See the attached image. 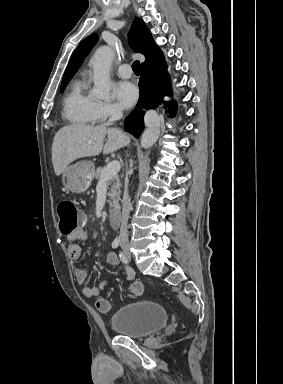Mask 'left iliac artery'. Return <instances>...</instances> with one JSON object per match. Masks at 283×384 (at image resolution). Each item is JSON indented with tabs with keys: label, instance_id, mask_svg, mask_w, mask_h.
Wrapping results in <instances>:
<instances>
[{
	"label": "left iliac artery",
	"instance_id": "44dca946",
	"mask_svg": "<svg viewBox=\"0 0 283 384\" xmlns=\"http://www.w3.org/2000/svg\"><path fill=\"white\" fill-rule=\"evenodd\" d=\"M119 257H120V260H121L123 263H126V262H127V258L125 257V255H124L123 252H120V253H119Z\"/></svg>",
	"mask_w": 283,
	"mask_h": 384
}]
</instances>
